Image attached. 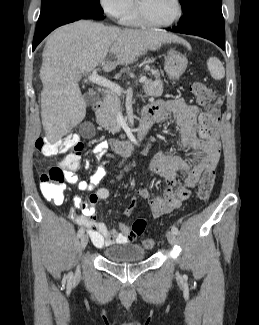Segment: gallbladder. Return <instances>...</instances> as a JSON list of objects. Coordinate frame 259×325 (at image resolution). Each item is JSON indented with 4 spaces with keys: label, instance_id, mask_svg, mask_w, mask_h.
Here are the masks:
<instances>
[{
    "label": "gallbladder",
    "instance_id": "bac80fb5",
    "mask_svg": "<svg viewBox=\"0 0 259 325\" xmlns=\"http://www.w3.org/2000/svg\"><path fill=\"white\" fill-rule=\"evenodd\" d=\"M84 100L88 106H92L97 101V95L92 92H87L84 94ZM94 131V122L93 121H84L81 126V135L82 139H95Z\"/></svg>",
    "mask_w": 259,
    "mask_h": 325
}]
</instances>
